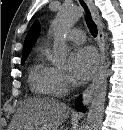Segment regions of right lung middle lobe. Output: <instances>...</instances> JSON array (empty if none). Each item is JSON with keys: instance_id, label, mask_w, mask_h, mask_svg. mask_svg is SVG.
Returning <instances> with one entry per match:
<instances>
[{"instance_id": "obj_1", "label": "right lung middle lobe", "mask_w": 123, "mask_h": 130, "mask_svg": "<svg viewBox=\"0 0 123 130\" xmlns=\"http://www.w3.org/2000/svg\"><path fill=\"white\" fill-rule=\"evenodd\" d=\"M27 56H28V55H26V56H22V64H24V62H25Z\"/></svg>"}]
</instances>
